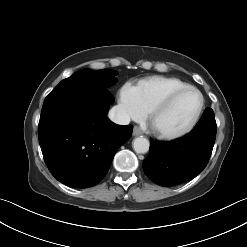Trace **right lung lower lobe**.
<instances>
[{
    "label": "right lung lower lobe",
    "instance_id": "right-lung-lower-lobe-1",
    "mask_svg": "<svg viewBox=\"0 0 247 247\" xmlns=\"http://www.w3.org/2000/svg\"><path fill=\"white\" fill-rule=\"evenodd\" d=\"M112 94L103 87L76 86L53 90L42 107L39 143L51 174L77 188L99 183L133 126L106 117Z\"/></svg>",
    "mask_w": 247,
    "mask_h": 247
}]
</instances>
